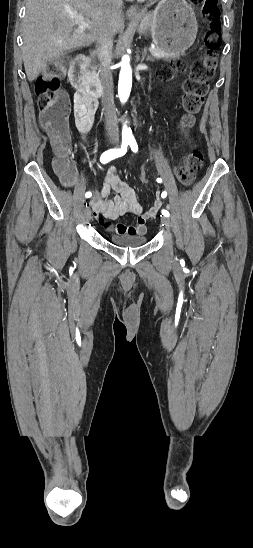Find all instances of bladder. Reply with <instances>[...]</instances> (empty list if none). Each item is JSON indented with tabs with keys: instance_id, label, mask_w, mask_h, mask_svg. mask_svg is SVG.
Instances as JSON below:
<instances>
[{
	"instance_id": "1",
	"label": "bladder",
	"mask_w": 253,
	"mask_h": 548,
	"mask_svg": "<svg viewBox=\"0 0 253 548\" xmlns=\"http://www.w3.org/2000/svg\"><path fill=\"white\" fill-rule=\"evenodd\" d=\"M110 240L121 247H140L146 244L147 237L145 234H113Z\"/></svg>"
}]
</instances>
